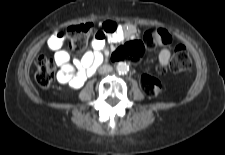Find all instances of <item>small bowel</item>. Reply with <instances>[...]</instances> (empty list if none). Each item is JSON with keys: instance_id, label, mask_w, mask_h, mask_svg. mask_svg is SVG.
Masks as SVG:
<instances>
[{"instance_id": "small-bowel-1", "label": "small bowel", "mask_w": 225, "mask_h": 155, "mask_svg": "<svg viewBox=\"0 0 225 155\" xmlns=\"http://www.w3.org/2000/svg\"><path fill=\"white\" fill-rule=\"evenodd\" d=\"M132 26H119L113 21L103 24L102 30L97 32L92 41L93 51L87 52L81 59L70 60L67 51L63 50L68 44V35L64 31H55L47 41L50 50L54 52V61L59 67L57 79L60 83L71 88H80L85 80L94 74L97 66L101 63L102 54L106 42H117L128 33H132ZM171 52L163 48L158 54L161 66L168 65Z\"/></svg>"}]
</instances>
